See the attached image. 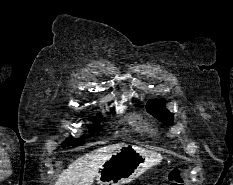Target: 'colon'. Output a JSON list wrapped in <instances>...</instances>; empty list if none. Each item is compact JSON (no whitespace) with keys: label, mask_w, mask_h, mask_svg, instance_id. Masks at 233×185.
<instances>
[{"label":"colon","mask_w":233,"mask_h":185,"mask_svg":"<svg viewBox=\"0 0 233 185\" xmlns=\"http://www.w3.org/2000/svg\"><path fill=\"white\" fill-rule=\"evenodd\" d=\"M184 180L180 167H174L169 173V185H183Z\"/></svg>","instance_id":"colon-1"}]
</instances>
